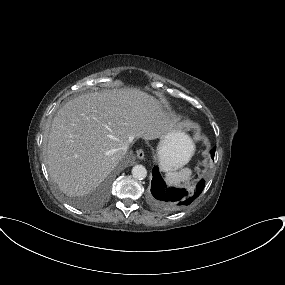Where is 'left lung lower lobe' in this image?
<instances>
[{
	"label": "left lung lower lobe",
	"instance_id": "left-lung-lower-lobe-1",
	"mask_svg": "<svg viewBox=\"0 0 285 285\" xmlns=\"http://www.w3.org/2000/svg\"><path fill=\"white\" fill-rule=\"evenodd\" d=\"M216 147L210 153L214 159ZM153 179L151 182V201L154 205L166 210H178L192 203L202 192L205 181L202 179L196 186V190L192 195H188L185 189L166 188L158 167L152 169Z\"/></svg>",
	"mask_w": 285,
	"mask_h": 285
}]
</instances>
